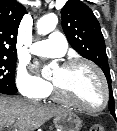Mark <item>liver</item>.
I'll return each instance as SVG.
<instances>
[{"label": "liver", "instance_id": "obj_1", "mask_svg": "<svg viewBox=\"0 0 117 131\" xmlns=\"http://www.w3.org/2000/svg\"><path fill=\"white\" fill-rule=\"evenodd\" d=\"M64 112L68 111L0 95V131L15 120V131H34L52 117Z\"/></svg>", "mask_w": 117, "mask_h": 131}]
</instances>
